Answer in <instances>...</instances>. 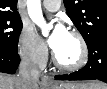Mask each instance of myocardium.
<instances>
[{
	"label": "myocardium",
	"instance_id": "myocardium-1",
	"mask_svg": "<svg viewBox=\"0 0 107 89\" xmlns=\"http://www.w3.org/2000/svg\"><path fill=\"white\" fill-rule=\"evenodd\" d=\"M68 33L71 36H73L79 44V47H80L79 60L73 64H65L57 58L55 53H53V62L55 66L58 67L59 69H62L65 71H77L86 65L89 58V49L85 38L79 31L71 29L68 31Z\"/></svg>",
	"mask_w": 107,
	"mask_h": 89
}]
</instances>
